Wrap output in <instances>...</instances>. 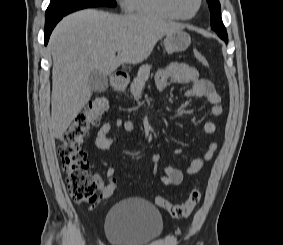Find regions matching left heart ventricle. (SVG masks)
Segmentation results:
<instances>
[{"label": "left heart ventricle", "mask_w": 283, "mask_h": 245, "mask_svg": "<svg viewBox=\"0 0 283 245\" xmlns=\"http://www.w3.org/2000/svg\"><path fill=\"white\" fill-rule=\"evenodd\" d=\"M178 4L183 14H189L196 7V0H178Z\"/></svg>", "instance_id": "obj_1"}]
</instances>
